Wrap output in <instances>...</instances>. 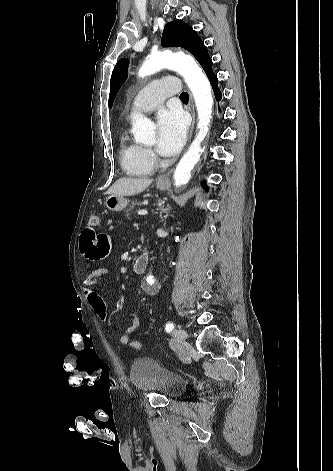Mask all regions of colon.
I'll list each match as a JSON object with an SVG mask.
<instances>
[{
  "label": "colon",
  "mask_w": 333,
  "mask_h": 471,
  "mask_svg": "<svg viewBox=\"0 0 333 471\" xmlns=\"http://www.w3.org/2000/svg\"><path fill=\"white\" fill-rule=\"evenodd\" d=\"M100 218L97 214H93L89 218V225L91 227H97L99 225ZM129 346L134 350H141L142 344L137 340H132L129 342Z\"/></svg>",
  "instance_id": "colon-1"
}]
</instances>
